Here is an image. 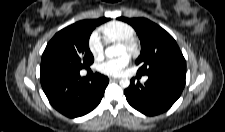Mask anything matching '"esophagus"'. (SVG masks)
I'll list each match as a JSON object with an SVG mask.
<instances>
[{"label":"esophagus","instance_id":"34e87169","mask_svg":"<svg viewBox=\"0 0 225 132\" xmlns=\"http://www.w3.org/2000/svg\"><path fill=\"white\" fill-rule=\"evenodd\" d=\"M119 80H120V78L110 77V81H111V82H114V81H119Z\"/></svg>","mask_w":225,"mask_h":132}]
</instances>
